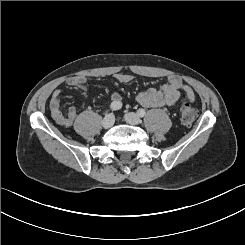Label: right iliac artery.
Here are the masks:
<instances>
[{"label": "right iliac artery", "instance_id": "obj_1", "mask_svg": "<svg viewBox=\"0 0 245 245\" xmlns=\"http://www.w3.org/2000/svg\"><path fill=\"white\" fill-rule=\"evenodd\" d=\"M121 107H122V103L119 102V101H114V102H112L111 105H110V109H111L112 111H114V110H119V109H121Z\"/></svg>", "mask_w": 245, "mask_h": 245}]
</instances>
